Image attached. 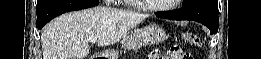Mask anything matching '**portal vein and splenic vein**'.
Instances as JSON below:
<instances>
[{"mask_svg":"<svg viewBox=\"0 0 261 59\" xmlns=\"http://www.w3.org/2000/svg\"><path fill=\"white\" fill-rule=\"evenodd\" d=\"M97 41V36H93L90 38V42L95 43Z\"/></svg>","mask_w":261,"mask_h":59,"instance_id":"obj_1","label":"portal vein and splenic vein"}]
</instances>
